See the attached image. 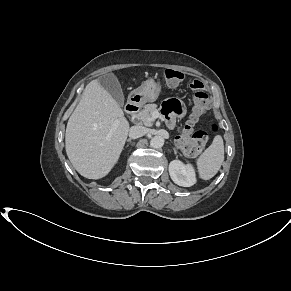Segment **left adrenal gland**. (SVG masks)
<instances>
[{
	"instance_id": "a2214340",
	"label": "left adrenal gland",
	"mask_w": 291,
	"mask_h": 291,
	"mask_svg": "<svg viewBox=\"0 0 291 291\" xmlns=\"http://www.w3.org/2000/svg\"><path fill=\"white\" fill-rule=\"evenodd\" d=\"M173 150H174V153L176 154V153H177V152H176V148L173 147Z\"/></svg>"
}]
</instances>
